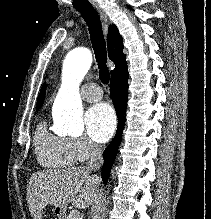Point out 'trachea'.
Listing matches in <instances>:
<instances>
[{
    "label": "trachea",
    "instance_id": "trachea-1",
    "mask_svg": "<svg viewBox=\"0 0 211 219\" xmlns=\"http://www.w3.org/2000/svg\"><path fill=\"white\" fill-rule=\"evenodd\" d=\"M75 9L82 14L88 25L92 47L99 67V78L103 84H108L110 74L106 65V43L99 15L91 4L75 6Z\"/></svg>",
    "mask_w": 211,
    "mask_h": 219
}]
</instances>
